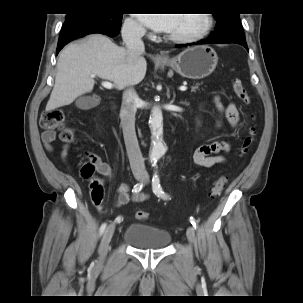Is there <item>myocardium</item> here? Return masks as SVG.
Wrapping results in <instances>:
<instances>
[{
    "instance_id": "myocardium-1",
    "label": "myocardium",
    "mask_w": 303,
    "mask_h": 303,
    "mask_svg": "<svg viewBox=\"0 0 303 303\" xmlns=\"http://www.w3.org/2000/svg\"><path fill=\"white\" fill-rule=\"evenodd\" d=\"M204 16V26L193 33H189V34H168V38L172 41H176V42H191V41H195L198 40L202 37H204L212 28L213 26V17L211 14L209 13H205V14H201Z\"/></svg>"
}]
</instances>
